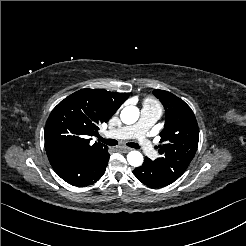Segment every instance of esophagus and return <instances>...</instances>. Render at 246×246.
<instances>
[{
    "label": "esophagus",
    "mask_w": 246,
    "mask_h": 246,
    "mask_svg": "<svg viewBox=\"0 0 246 246\" xmlns=\"http://www.w3.org/2000/svg\"><path fill=\"white\" fill-rule=\"evenodd\" d=\"M118 150L122 153H128L129 151H131V148L122 146V147H119Z\"/></svg>",
    "instance_id": "esophagus-1"
}]
</instances>
